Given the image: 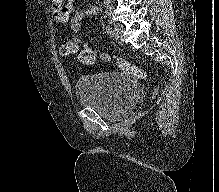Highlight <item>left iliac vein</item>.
I'll use <instances>...</instances> for the list:
<instances>
[{"label":"left iliac vein","mask_w":219,"mask_h":192,"mask_svg":"<svg viewBox=\"0 0 219 192\" xmlns=\"http://www.w3.org/2000/svg\"><path fill=\"white\" fill-rule=\"evenodd\" d=\"M112 37L116 40L120 39L121 33L123 31V26L120 23H112Z\"/></svg>","instance_id":"1"}]
</instances>
